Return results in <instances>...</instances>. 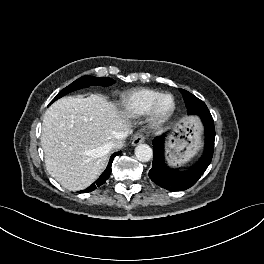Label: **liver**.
I'll use <instances>...</instances> for the list:
<instances>
[{
    "label": "liver",
    "mask_w": 264,
    "mask_h": 264,
    "mask_svg": "<svg viewBox=\"0 0 264 264\" xmlns=\"http://www.w3.org/2000/svg\"><path fill=\"white\" fill-rule=\"evenodd\" d=\"M130 127L129 115L101 96L57 100L42 122L47 171L68 190L85 189L105 166L110 141Z\"/></svg>",
    "instance_id": "obj_1"
}]
</instances>
